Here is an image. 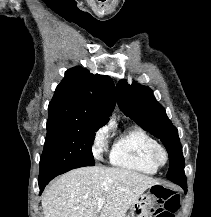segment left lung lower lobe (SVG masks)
<instances>
[{
	"label": "left lung lower lobe",
	"instance_id": "0a47b994",
	"mask_svg": "<svg viewBox=\"0 0 211 217\" xmlns=\"http://www.w3.org/2000/svg\"><path fill=\"white\" fill-rule=\"evenodd\" d=\"M184 189V192L187 193V183H176Z\"/></svg>",
	"mask_w": 211,
	"mask_h": 217
}]
</instances>
